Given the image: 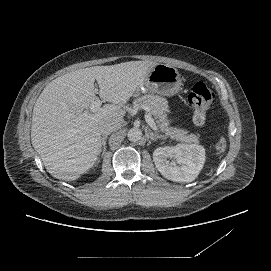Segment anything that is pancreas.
Here are the masks:
<instances>
[{
	"label": "pancreas",
	"instance_id": "pancreas-1",
	"mask_svg": "<svg viewBox=\"0 0 271 271\" xmlns=\"http://www.w3.org/2000/svg\"><path fill=\"white\" fill-rule=\"evenodd\" d=\"M135 108L147 106L150 109V113L157 120L161 132L166 137H170L173 140L186 143H199V136L189 134L188 131L184 130L182 127L172 126V120L168 118L169 106L166 99L161 98L160 96L144 95L135 99L133 103Z\"/></svg>",
	"mask_w": 271,
	"mask_h": 271
}]
</instances>
